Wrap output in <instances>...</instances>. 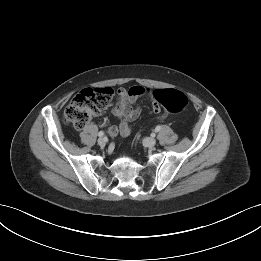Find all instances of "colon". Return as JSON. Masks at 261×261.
Masks as SVG:
<instances>
[{
  "mask_svg": "<svg viewBox=\"0 0 261 261\" xmlns=\"http://www.w3.org/2000/svg\"><path fill=\"white\" fill-rule=\"evenodd\" d=\"M154 99L160 108H164V115L182 111L188 104L187 96L174 89L156 90L153 92ZM113 90L111 88H87L82 90L65 108L63 119L75 129L83 128L90 119L102 111L111 101ZM119 127L116 124L106 129V134L115 138L119 135Z\"/></svg>",
  "mask_w": 261,
  "mask_h": 261,
  "instance_id": "obj_1",
  "label": "colon"
}]
</instances>
